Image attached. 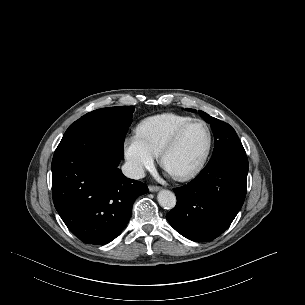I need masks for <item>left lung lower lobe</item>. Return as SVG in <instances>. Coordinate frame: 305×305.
<instances>
[{
    "mask_svg": "<svg viewBox=\"0 0 305 305\" xmlns=\"http://www.w3.org/2000/svg\"><path fill=\"white\" fill-rule=\"evenodd\" d=\"M248 159L230 152L208 162L187 185L174 188L176 206L166 215L171 226L192 241H211L222 234L246 196Z\"/></svg>",
    "mask_w": 305,
    "mask_h": 305,
    "instance_id": "obj_1",
    "label": "left lung lower lobe"
}]
</instances>
